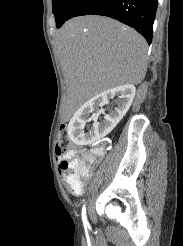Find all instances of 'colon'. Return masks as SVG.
Returning <instances> with one entry per match:
<instances>
[{
	"label": "colon",
	"mask_w": 183,
	"mask_h": 246,
	"mask_svg": "<svg viewBox=\"0 0 183 246\" xmlns=\"http://www.w3.org/2000/svg\"><path fill=\"white\" fill-rule=\"evenodd\" d=\"M71 149L69 131L66 127H61L58 132L56 142V154L64 157ZM104 153L102 147H96L84 154L82 159H62L60 169L65 172L69 178L70 192H78L83 188L84 181L90 173L91 164L99 159Z\"/></svg>",
	"instance_id": "colon-1"
}]
</instances>
